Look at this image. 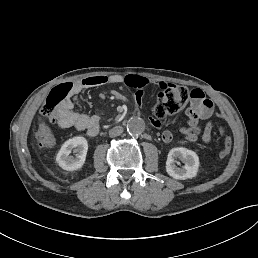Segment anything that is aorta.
Wrapping results in <instances>:
<instances>
[{
	"instance_id": "obj_1",
	"label": "aorta",
	"mask_w": 258,
	"mask_h": 258,
	"mask_svg": "<svg viewBox=\"0 0 258 258\" xmlns=\"http://www.w3.org/2000/svg\"><path fill=\"white\" fill-rule=\"evenodd\" d=\"M126 128L130 135H139L145 130V122L140 117H131L127 121Z\"/></svg>"
}]
</instances>
